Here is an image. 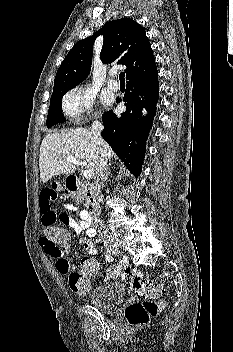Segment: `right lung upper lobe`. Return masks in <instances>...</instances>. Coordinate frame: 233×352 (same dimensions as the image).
Wrapping results in <instances>:
<instances>
[{
    "mask_svg": "<svg viewBox=\"0 0 233 352\" xmlns=\"http://www.w3.org/2000/svg\"><path fill=\"white\" fill-rule=\"evenodd\" d=\"M103 35L100 58L103 63L114 61L126 65V79L130 80L156 68L153 52L146 31L136 21L121 18L107 22L92 36L76 43L61 63L54 80V87L78 85L90 73L94 41Z\"/></svg>",
    "mask_w": 233,
    "mask_h": 352,
    "instance_id": "right-lung-upper-lobe-1",
    "label": "right lung upper lobe"
}]
</instances>
